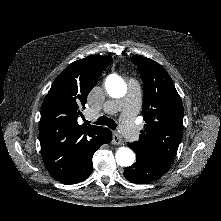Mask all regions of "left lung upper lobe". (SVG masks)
Instances as JSON below:
<instances>
[{
    "label": "left lung upper lobe",
    "mask_w": 221,
    "mask_h": 221,
    "mask_svg": "<svg viewBox=\"0 0 221 221\" xmlns=\"http://www.w3.org/2000/svg\"><path fill=\"white\" fill-rule=\"evenodd\" d=\"M143 81V119L139 140L133 142L137 157L174 158L182 138V100L167 71L142 56L132 57Z\"/></svg>",
    "instance_id": "left-lung-upper-lobe-1"
}]
</instances>
